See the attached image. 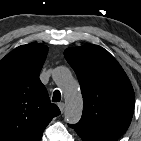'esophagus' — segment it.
<instances>
[{"label":"esophagus","instance_id":"obj_1","mask_svg":"<svg viewBox=\"0 0 141 141\" xmlns=\"http://www.w3.org/2000/svg\"><path fill=\"white\" fill-rule=\"evenodd\" d=\"M58 107H59L61 113H63L64 109H65V104L63 102H60V103H58Z\"/></svg>","mask_w":141,"mask_h":141}]
</instances>
